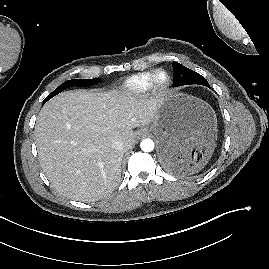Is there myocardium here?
<instances>
[{
    "mask_svg": "<svg viewBox=\"0 0 269 269\" xmlns=\"http://www.w3.org/2000/svg\"><path fill=\"white\" fill-rule=\"evenodd\" d=\"M160 76H164V79L161 80ZM171 82L172 78L170 73L163 68H159L152 74L149 89L153 93L161 94L168 90V88L171 86Z\"/></svg>",
    "mask_w": 269,
    "mask_h": 269,
    "instance_id": "myocardium-1",
    "label": "myocardium"
}]
</instances>
